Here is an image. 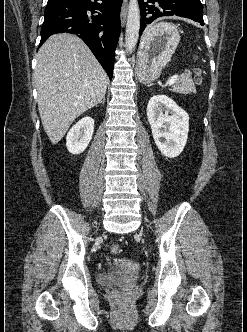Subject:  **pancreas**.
Returning a JSON list of instances; mask_svg holds the SVG:
<instances>
[{"instance_id": "pancreas-1", "label": "pancreas", "mask_w": 247, "mask_h": 332, "mask_svg": "<svg viewBox=\"0 0 247 332\" xmlns=\"http://www.w3.org/2000/svg\"><path fill=\"white\" fill-rule=\"evenodd\" d=\"M173 91L177 93L190 94L195 92L194 82L189 74H182L177 78Z\"/></svg>"}]
</instances>
